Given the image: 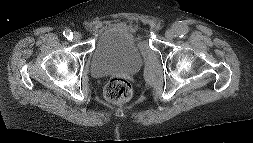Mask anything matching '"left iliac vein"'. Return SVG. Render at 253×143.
Instances as JSON below:
<instances>
[{
    "mask_svg": "<svg viewBox=\"0 0 253 143\" xmlns=\"http://www.w3.org/2000/svg\"><path fill=\"white\" fill-rule=\"evenodd\" d=\"M165 37L168 39V40H172L174 37H175V32L171 29L167 30L165 32Z\"/></svg>",
    "mask_w": 253,
    "mask_h": 143,
    "instance_id": "obj_1",
    "label": "left iliac vein"
}]
</instances>
